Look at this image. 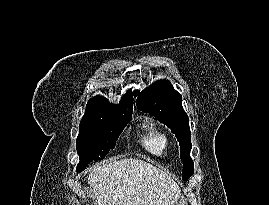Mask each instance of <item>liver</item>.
<instances>
[{
  "mask_svg": "<svg viewBox=\"0 0 269 205\" xmlns=\"http://www.w3.org/2000/svg\"><path fill=\"white\" fill-rule=\"evenodd\" d=\"M87 181L98 205H175L181 195L171 176L135 158L97 166Z\"/></svg>",
  "mask_w": 269,
  "mask_h": 205,
  "instance_id": "1",
  "label": "liver"
}]
</instances>
